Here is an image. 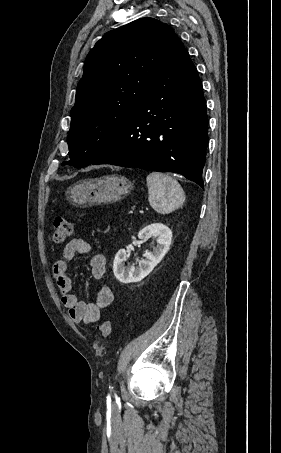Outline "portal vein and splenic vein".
Returning <instances> with one entry per match:
<instances>
[{
	"instance_id": "18ae733b",
	"label": "portal vein and splenic vein",
	"mask_w": 281,
	"mask_h": 453,
	"mask_svg": "<svg viewBox=\"0 0 281 453\" xmlns=\"http://www.w3.org/2000/svg\"><path fill=\"white\" fill-rule=\"evenodd\" d=\"M134 210H135V209H134ZM144 210H145V211H150V208H145ZM144 210H143V211H142V210H139L138 212H139V213H142V212L144 213V212H145ZM129 213H132V210H129Z\"/></svg>"
}]
</instances>
